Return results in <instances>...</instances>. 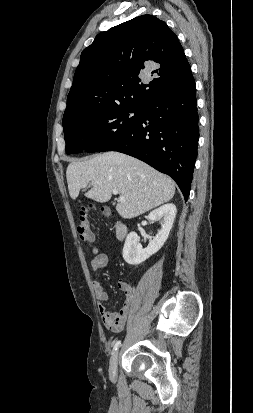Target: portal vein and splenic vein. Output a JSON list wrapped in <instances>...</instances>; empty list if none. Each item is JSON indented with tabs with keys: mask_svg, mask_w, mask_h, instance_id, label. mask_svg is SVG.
Masks as SVG:
<instances>
[{
	"mask_svg": "<svg viewBox=\"0 0 253 413\" xmlns=\"http://www.w3.org/2000/svg\"><path fill=\"white\" fill-rule=\"evenodd\" d=\"M113 194H114V195H117V194H118V190L114 189V190H113ZM119 200H120V201H125V198H124L123 196H120Z\"/></svg>",
	"mask_w": 253,
	"mask_h": 413,
	"instance_id": "portal-vein-and-splenic-vein-1",
	"label": "portal vein and splenic vein"
}]
</instances>
